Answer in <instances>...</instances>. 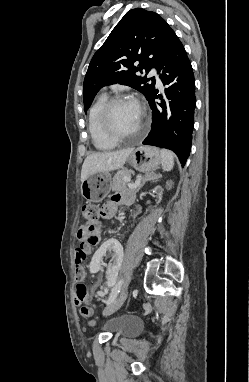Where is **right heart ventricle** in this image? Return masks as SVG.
I'll list each match as a JSON object with an SVG mask.
<instances>
[{"instance_id": "e07e8e85", "label": "right heart ventricle", "mask_w": 249, "mask_h": 382, "mask_svg": "<svg viewBox=\"0 0 249 382\" xmlns=\"http://www.w3.org/2000/svg\"><path fill=\"white\" fill-rule=\"evenodd\" d=\"M107 100L106 95H100L92 104L88 116V127L92 142L98 150L103 151L111 150L117 145V142L110 140L104 134L100 124V113Z\"/></svg>"}]
</instances>
